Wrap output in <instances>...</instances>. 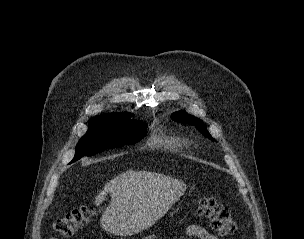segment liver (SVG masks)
I'll list each match as a JSON object with an SVG mask.
<instances>
[{
    "mask_svg": "<svg viewBox=\"0 0 304 239\" xmlns=\"http://www.w3.org/2000/svg\"><path fill=\"white\" fill-rule=\"evenodd\" d=\"M185 191L186 185L171 176L128 170L107 182L94 203L99 206L109 193L111 201L102 215V228L130 236L153 226Z\"/></svg>",
    "mask_w": 304,
    "mask_h": 239,
    "instance_id": "liver-1",
    "label": "liver"
}]
</instances>
